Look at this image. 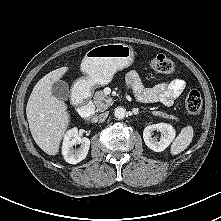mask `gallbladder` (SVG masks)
Here are the masks:
<instances>
[{"instance_id": "bac80fb5", "label": "gallbladder", "mask_w": 221, "mask_h": 221, "mask_svg": "<svg viewBox=\"0 0 221 221\" xmlns=\"http://www.w3.org/2000/svg\"><path fill=\"white\" fill-rule=\"evenodd\" d=\"M70 93L69 86L64 81L59 80L52 85V94L59 100H68Z\"/></svg>"}]
</instances>
